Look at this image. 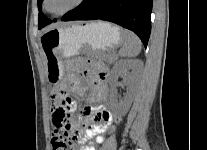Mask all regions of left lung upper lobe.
Wrapping results in <instances>:
<instances>
[{
	"label": "left lung upper lobe",
	"mask_w": 207,
	"mask_h": 150,
	"mask_svg": "<svg viewBox=\"0 0 207 150\" xmlns=\"http://www.w3.org/2000/svg\"><path fill=\"white\" fill-rule=\"evenodd\" d=\"M43 0H38V9L41 10V3ZM51 23V20H49L42 12H39L38 16V26L39 29L46 26L47 24Z\"/></svg>",
	"instance_id": "obj_1"
}]
</instances>
